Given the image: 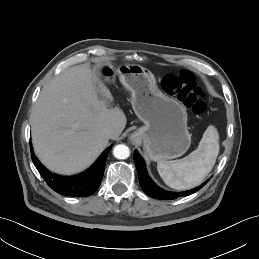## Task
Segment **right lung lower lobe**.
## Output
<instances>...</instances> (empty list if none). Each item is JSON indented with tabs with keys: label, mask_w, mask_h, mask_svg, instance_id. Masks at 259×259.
<instances>
[{
	"label": "right lung lower lobe",
	"mask_w": 259,
	"mask_h": 259,
	"mask_svg": "<svg viewBox=\"0 0 259 259\" xmlns=\"http://www.w3.org/2000/svg\"><path fill=\"white\" fill-rule=\"evenodd\" d=\"M111 148V146L108 147L87 171L70 177L59 176L47 170L35 156L32 146L30 149L35 167L55 192L65 196L85 197L94 193L101 184L106 158Z\"/></svg>",
	"instance_id": "right-lung-lower-lobe-1"
}]
</instances>
